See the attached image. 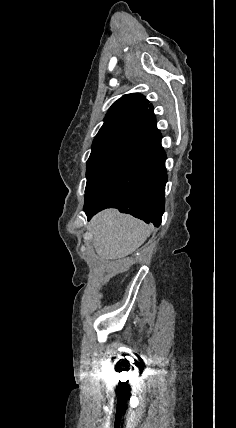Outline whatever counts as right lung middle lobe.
I'll use <instances>...</instances> for the list:
<instances>
[{
    "instance_id": "right-lung-middle-lobe-1",
    "label": "right lung middle lobe",
    "mask_w": 236,
    "mask_h": 428,
    "mask_svg": "<svg viewBox=\"0 0 236 428\" xmlns=\"http://www.w3.org/2000/svg\"><path fill=\"white\" fill-rule=\"evenodd\" d=\"M144 143H128L91 154L87 161L85 205L92 204L131 167Z\"/></svg>"
}]
</instances>
